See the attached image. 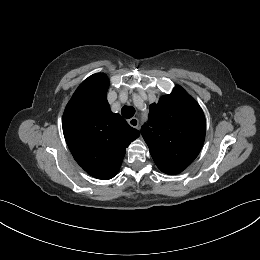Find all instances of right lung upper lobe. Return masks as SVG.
I'll list each match as a JSON object with an SVG mask.
<instances>
[{
    "mask_svg": "<svg viewBox=\"0 0 260 260\" xmlns=\"http://www.w3.org/2000/svg\"><path fill=\"white\" fill-rule=\"evenodd\" d=\"M109 79L96 73L85 79L67 104L63 119L66 143L77 163L97 179H111L119 171L125 149L140 136L110 109Z\"/></svg>",
    "mask_w": 260,
    "mask_h": 260,
    "instance_id": "1",
    "label": "right lung upper lobe"
}]
</instances>
